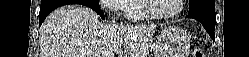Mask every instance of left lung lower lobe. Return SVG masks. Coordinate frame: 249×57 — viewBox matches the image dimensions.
Here are the masks:
<instances>
[{
    "label": "left lung lower lobe",
    "mask_w": 249,
    "mask_h": 57,
    "mask_svg": "<svg viewBox=\"0 0 249 57\" xmlns=\"http://www.w3.org/2000/svg\"><path fill=\"white\" fill-rule=\"evenodd\" d=\"M187 18H193L202 23L210 37L215 40L214 29L216 24L215 7H206L191 13H188Z\"/></svg>",
    "instance_id": "obj_1"
}]
</instances>
